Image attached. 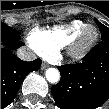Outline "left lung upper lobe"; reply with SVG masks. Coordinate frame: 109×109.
<instances>
[{
  "label": "left lung upper lobe",
  "instance_id": "5c2ea615",
  "mask_svg": "<svg viewBox=\"0 0 109 109\" xmlns=\"http://www.w3.org/2000/svg\"><path fill=\"white\" fill-rule=\"evenodd\" d=\"M96 24L99 27L101 32V39L102 41H109V28L100 23L97 19H95Z\"/></svg>",
  "mask_w": 109,
  "mask_h": 109
}]
</instances>
